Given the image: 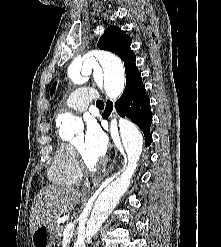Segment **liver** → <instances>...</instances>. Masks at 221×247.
I'll return each instance as SVG.
<instances>
[{
    "mask_svg": "<svg viewBox=\"0 0 221 247\" xmlns=\"http://www.w3.org/2000/svg\"><path fill=\"white\" fill-rule=\"evenodd\" d=\"M81 196L80 191L71 187L49 185L42 188L31 207V232L69 213L79 203Z\"/></svg>",
    "mask_w": 221,
    "mask_h": 247,
    "instance_id": "liver-1",
    "label": "liver"
}]
</instances>
